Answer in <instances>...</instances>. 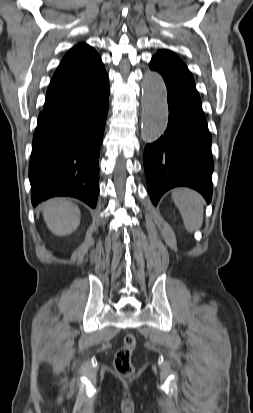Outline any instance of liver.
<instances>
[{
  "label": "liver",
  "instance_id": "1",
  "mask_svg": "<svg viewBox=\"0 0 253 413\" xmlns=\"http://www.w3.org/2000/svg\"><path fill=\"white\" fill-rule=\"evenodd\" d=\"M43 217L49 230L58 236L69 235L80 224V210L65 199H53L43 206Z\"/></svg>",
  "mask_w": 253,
  "mask_h": 413
}]
</instances>
